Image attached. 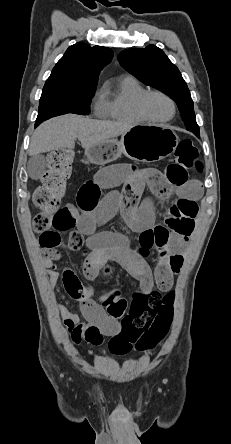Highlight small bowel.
Here are the masks:
<instances>
[{"label":"small bowel","instance_id":"c3829d8e","mask_svg":"<svg viewBox=\"0 0 231 444\" xmlns=\"http://www.w3.org/2000/svg\"><path fill=\"white\" fill-rule=\"evenodd\" d=\"M123 186L121 191L112 190L101 197L102 189ZM145 186L158 198H168L171 194L169 183L155 170L136 169L128 164H111L101 168L92 180L84 183L77 193V205H69L75 218L76 230L71 232L68 245L71 250L86 249L83 277L87 282L84 294L78 298L80 313L70 309V304L61 295L59 272L55 260L58 255L51 250L59 243V234H49L50 244L45 247L42 263L47 268L51 292L57 310L70 334L72 341L82 340L100 345L107 336H114L121 330V319L126 314L128 302L125 298L112 295L101 301L94 299L91 282L102 271L105 276L111 273L110 262L118 263L139 281L141 296L153 290L168 291L173 285L174 276L180 271L183 262V249L188 237L168 230L163 236L155 233L153 205L150 200L139 203ZM181 200H196L202 194L200 182L190 181L185 187L177 188ZM120 213L127 225L140 234V251L130 248L128 237L119 232L99 231L102 223ZM157 250V258L152 268L146 256Z\"/></svg>","mask_w":231,"mask_h":444}]
</instances>
